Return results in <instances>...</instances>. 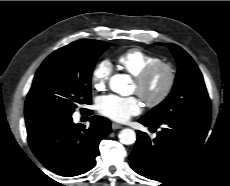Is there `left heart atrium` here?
I'll return each mask as SVG.
<instances>
[{
    "instance_id": "1",
    "label": "left heart atrium",
    "mask_w": 230,
    "mask_h": 186,
    "mask_svg": "<svg viewBox=\"0 0 230 186\" xmlns=\"http://www.w3.org/2000/svg\"><path fill=\"white\" fill-rule=\"evenodd\" d=\"M97 109L102 115L114 121L126 122L132 116L140 113L141 103L136 97L110 94L99 98Z\"/></svg>"
}]
</instances>
